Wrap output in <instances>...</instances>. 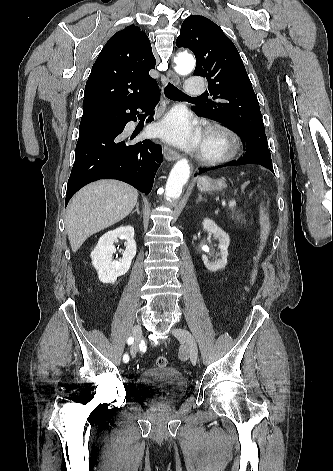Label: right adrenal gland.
Instances as JSON below:
<instances>
[{
    "instance_id": "right-adrenal-gland-1",
    "label": "right adrenal gland",
    "mask_w": 333,
    "mask_h": 471,
    "mask_svg": "<svg viewBox=\"0 0 333 471\" xmlns=\"http://www.w3.org/2000/svg\"><path fill=\"white\" fill-rule=\"evenodd\" d=\"M135 212H137L140 215L139 203L136 204V209L132 212V214L135 213Z\"/></svg>"
}]
</instances>
